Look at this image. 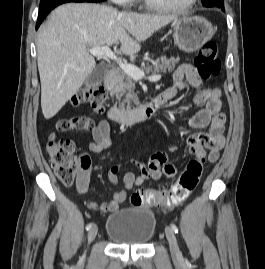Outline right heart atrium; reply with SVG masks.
<instances>
[{
	"label": "right heart atrium",
	"instance_id": "obj_1",
	"mask_svg": "<svg viewBox=\"0 0 265 269\" xmlns=\"http://www.w3.org/2000/svg\"><path fill=\"white\" fill-rule=\"evenodd\" d=\"M111 1L117 5H128L132 3L134 0H111Z\"/></svg>",
	"mask_w": 265,
	"mask_h": 269
}]
</instances>
